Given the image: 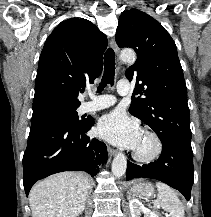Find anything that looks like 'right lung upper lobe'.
I'll return each instance as SVG.
<instances>
[{
    "label": "right lung upper lobe",
    "mask_w": 211,
    "mask_h": 217,
    "mask_svg": "<svg viewBox=\"0 0 211 217\" xmlns=\"http://www.w3.org/2000/svg\"><path fill=\"white\" fill-rule=\"evenodd\" d=\"M107 37L86 19L61 22L47 38L35 82L32 119L77 109L79 91L102 72Z\"/></svg>",
    "instance_id": "cb5924a9"
}]
</instances>
